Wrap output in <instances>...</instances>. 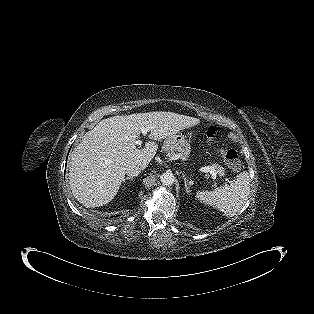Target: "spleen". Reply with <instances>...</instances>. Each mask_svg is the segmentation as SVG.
I'll return each instance as SVG.
<instances>
[{"instance_id":"3e777b00","label":"spleen","mask_w":314,"mask_h":314,"mask_svg":"<svg viewBox=\"0 0 314 314\" xmlns=\"http://www.w3.org/2000/svg\"><path fill=\"white\" fill-rule=\"evenodd\" d=\"M250 194V178L246 171L237 175L231 185L220 186L213 191H198L196 198L217 208L226 217L236 215L248 200Z\"/></svg>"}]
</instances>
